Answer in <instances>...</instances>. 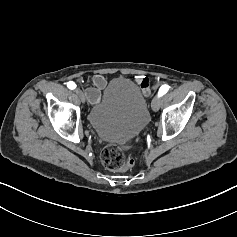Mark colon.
Segmentation results:
<instances>
[{
  "instance_id": "obj_1",
  "label": "colon",
  "mask_w": 237,
  "mask_h": 237,
  "mask_svg": "<svg viewBox=\"0 0 237 237\" xmlns=\"http://www.w3.org/2000/svg\"><path fill=\"white\" fill-rule=\"evenodd\" d=\"M103 165L112 171H123L133 166V159L126 157L121 148L115 145L105 146L100 155Z\"/></svg>"
}]
</instances>
